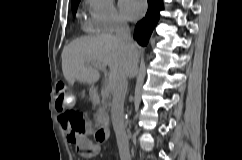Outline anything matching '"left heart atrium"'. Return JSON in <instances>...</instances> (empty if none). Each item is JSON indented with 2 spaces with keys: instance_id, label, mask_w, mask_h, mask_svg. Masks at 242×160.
Segmentation results:
<instances>
[{
  "instance_id": "left-heart-atrium-1",
  "label": "left heart atrium",
  "mask_w": 242,
  "mask_h": 160,
  "mask_svg": "<svg viewBox=\"0 0 242 160\" xmlns=\"http://www.w3.org/2000/svg\"><path fill=\"white\" fill-rule=\"evenodd\" d=\"M119 4L123 14L130 20L141 17L146 10L145 0H120Z\"/></svg>"
}]
</instances>
